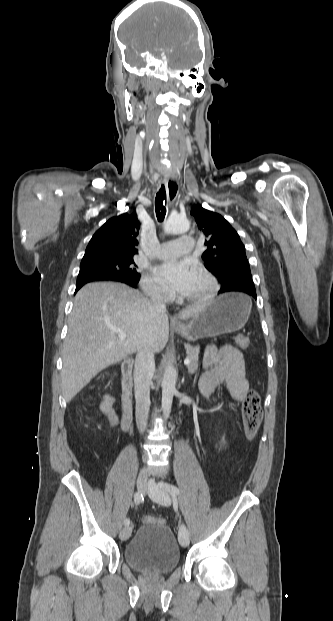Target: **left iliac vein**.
Listing matches in <instances>:
<instances>
[{"label": "left iliac vein", "instance_id": "4c4485c4", "mask_svg": "<svg viewBox=\"0 0 333 621\" xmlns=\"http://www.w3.org/2000/svg\"><path fill=\"white\" fill-rule=\"evenodd\" d=\"M148 494L149 497L156 503L168 506L170 504V497L165 489L161 488L154 479L148 481ZM179 543L183 547H187L190 542L188 530L184 524H181L178 532Z\"/></svg>", "mask_w": 333, "mask_h": 621}]
</instances>
